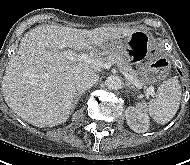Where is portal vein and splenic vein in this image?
Returning <instances> with one entry per match:
<instances>
[{
	"label": "portal vein and splenic vein",
	"instance_id": "18ae733b",
	"mask_svg": "<svg viewBox=\"0 0 190 165\" xmlns=\"http://www.w3.org/2000/svg\"><path fill=\"white\" fill-rule=\"evenodd\" d=\"M65 56L67 57L68 60L70 61H81V62H85L91 66H97V67H101V68H105L108 69L110 68L113 64L111 63H103L98 59H95L91 56H89L88 54H75L74 51L71 50H66L65 52ZM121 73L137 88L141 89L142 88V84H140L132 75H130L129 73L125 72V71H121ZM149 93H153L154 92V88L153 87H149L148 88Z\"/></svg>",
	"mask_w": 190,
	"mask_h": 165
}]
</instances>
